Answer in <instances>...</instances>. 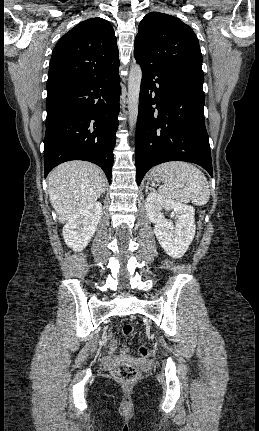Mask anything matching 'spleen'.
Returning <instances> with one entry per match:
<instances>
[{
  "instance_id": "1",
  "label": "spleen",
  "mask_w": 259,
  "mask_h": 431,
  "mask_svg": "<svg viewBox=\"0 0 259 431\" xmlns=\"http://www.w3.org/2000/svg\"><path fill=\"white\" fill-rule=\"evenodd\" d=\"M151 174L162 179L164 185L161 194L178 202H192L205 205L210 198V188L206 176L196 166L183 162L171 161L153 168Z\"/></svg>"
}]
</instances>
